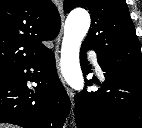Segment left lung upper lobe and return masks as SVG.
<instances>
[{
	"label": "left lung upper lobe",
	"mask_w": 142,
	"mask_h": 128,
	"mask_svg": "<svg viewBox=\"0 0 142 128\" xmlns=\"http://www.w3.org/2000/svg\"><path fill=\"white\" fill-rule=\"evenodd\" d=\"M82 7L91 14V27L82 45L93 49L114 70L142 74V54L124 0H64L69 13Z\"/></svg>",
	"instance_id": "left-lung-upper-lobe-1"
}]
</instances>
